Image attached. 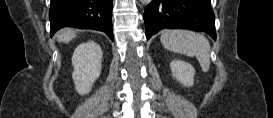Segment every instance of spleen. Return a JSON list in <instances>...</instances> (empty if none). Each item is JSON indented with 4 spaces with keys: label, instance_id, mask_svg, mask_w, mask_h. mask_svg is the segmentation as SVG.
Instances as JSON below:
<instances>
[{
    "label": "spleen",
    "instance_id": "1",
    "mask_svg": "<svg viewBox=\"0 0 273 118\" xmlns=\"http://www.w3.org/2000/svg\"><path fill=\"white\" fill-rule=\"evenodd\" d=\"M164 48L187 56H196L204 72L210 68V44L201 34L183 30H167L160 37Z\"/></svg>",
    "mask_w": 273,
    "mask_h": 118
}]
</instances>
